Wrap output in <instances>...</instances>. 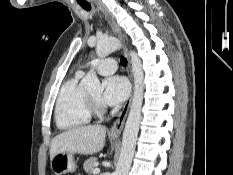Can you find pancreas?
<instances>
[{"mask_svg":"<svg viewBox=\"0 0 233 175\" xmlns=\"http://www.w3.org/2000/svg\"><path fill=\"white\" fill-rule=\"evenodd\" d=\"M97 164V158L96 157H90L84 162V170L88 173L91 174Z\"/></svg>","mask_w":233,"mask_h":175,"instance_id":"cf45deb5","label":"pancreas"}]
</instances>
